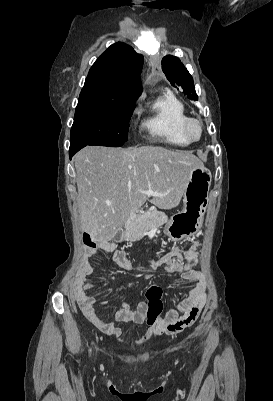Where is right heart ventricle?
I'll list each match as a JSON object with an SVG mask.
<instances>
[{
	"instance_id": "obj_1",
	"label": "right heart ventricle",
	"mask_w": 273,
	"mask_h": 401,
	"mask_svg": "<svg viewBox=\"0 0 273 401\" xmlns=\"http://www.w3.org/2000/svg\"><path fill=\"white\" fill-rule=\"evenodd\" d=\"M144 109L141 107L139 112ZM143 126L160 141L185 147L190 143L182 136L181 126L189 118L185 104L173 94H163L147 106Z\"/></svg>"
}]
</instances>
